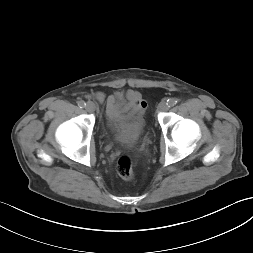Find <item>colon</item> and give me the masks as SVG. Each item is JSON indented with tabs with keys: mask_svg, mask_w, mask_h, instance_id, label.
I'll list each match as a JSON object with an SVG mask.
<instances>
[{
	"mask_svg": "<svg viewBox=\"0 0 253 253\" xmlns=\"http://www.w3.org/2000/svg\"><path fill=\"white\" fill-rule=\"evenodd\" d=\"M116 170L118 175L125 179L130 180L134 177L133 162L129 156H122L117 161Z\"/></svg>",
	"mask_w": 253,
	"mask_h": 253,
	"instance_id": "1",
	"label": "colon"
}]
</instances>
